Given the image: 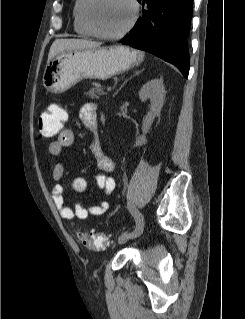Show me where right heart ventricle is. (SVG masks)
<instances>
[{
	"label": "right heart ventricle",
	"instance_id": "obj_1",
	"mask_svg": "<svg viewBox=\"0 0 245 319\" xmlns=\"http://www.w3.org/2000/svg\"><path fill=\"white\" fill-rule=\"evenodd\" d=\"M86 0H75L72 8L74 30L81 36H93L94 34L87 27L83 18V6Z\"/></svg>",
	"mask_w": 245,
	"mask_h": 319
}]
</instances>
